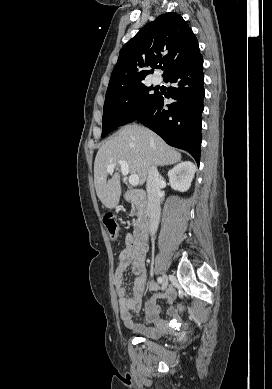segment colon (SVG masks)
<instances>
[{"label":"colon","mask_w":272,"mask_h":389,"mask_svg":"<svg viewBox=\"0 0 272 389\" xmlns=\"http://www.w3.org/2000/svg\"><path fill=\"white\" fill-rule=\"evenodd\" d=\"M103 222L110 238L115 239L118 235L119 230L116 218L112 214H106L103 218ZM178 310L182 311L183 307L179 305Z\"/></svg>","instance_id":"5ec220e1"}]
</instances>
